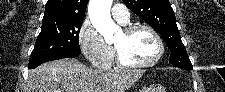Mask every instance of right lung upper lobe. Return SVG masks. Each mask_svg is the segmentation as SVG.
<instances>
[{
  "label": "right lung upper lobe",
  "mask_w": 225,
  "mask_h": 92,
  "mask_svg": "<svg viewBox=\"0 0 225 92\" xmlns=\"http://www.w3.org/2000/svg\"><path fill=\"white\" fill-rule=\"evenodd\" d=\"M88 0H48L42 24L83 22Z\"/></svg>",
  "instance_id": "right-lung-upper-lobe-1"
}]
</instances>
